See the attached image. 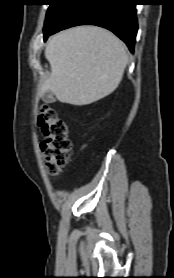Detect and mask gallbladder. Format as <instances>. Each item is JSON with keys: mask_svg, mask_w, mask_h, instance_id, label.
<instances>
[{"mask_svg": "<svg viewBox=\"0 0 174 278\" xmlns=\"http://www.w3.org/2000/svg\"><path fill=\"white\" fill-rule=\"evenodd\" d=\"M42 99L45 103H53L55 101L54 95L51 91H47L42 95Z\"/></svg>", "mask_w": 174, "mask_h": 278, "instance_id": "obj_1", "label": "gallbladder"}]
</instances>
